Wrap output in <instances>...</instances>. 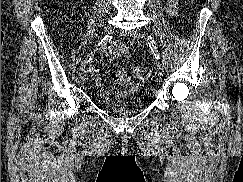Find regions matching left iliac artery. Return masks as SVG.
Segmentation results:
<instances>
[{"instance_id":"44dca946","label":"left iliac artery","mask_w":243,"mask_h":182,"mask_svg":"<svg viewBox=\"0 0 243 182\" xmlns=\"http://www.w3.org/2000/svg\"><path fill=\"white\" fill-rule=\"evenodd\" d=\"M143 37L148 42V45H149L151 51L153 52L155 58L157 60H159V53H158V50H157V47H156V43H155V40L153 39V37L150 36V35H147V36L143 35Z\"/></svg>"}]
</instances>
